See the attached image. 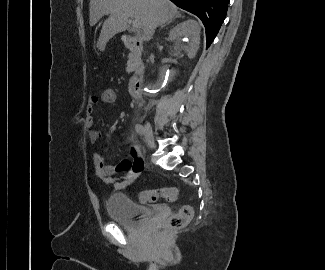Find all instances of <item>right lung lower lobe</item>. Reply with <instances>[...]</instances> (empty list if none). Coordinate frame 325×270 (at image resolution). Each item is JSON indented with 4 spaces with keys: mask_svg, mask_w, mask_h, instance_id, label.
<instances>
[{
    "mask_svg": "<svg viewBox=\"0 0 325 270\" xmlns=\"http://www.w3.org/2000/svg\"><path fill=\"white\" fill-rule=\"evenodd\" d=\"M178 7L185 9L203 22L206 30L207 48L216 37L223 23L230 0H171Z\"/></svg>",
    "mask_w": 325,
    "mask_h": 270,
    "instance_id": "obj_1",
    "label": "right lung lower lobe"
}]
</instances>
